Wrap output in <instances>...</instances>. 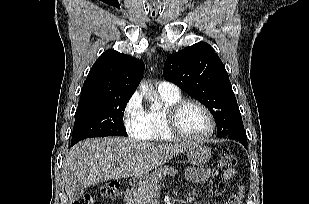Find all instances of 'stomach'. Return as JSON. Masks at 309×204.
<instances>
[{"instance_id":"obj_1","label":"stomach","mask_w":309,"mask_h":204,"mask_svg":"<svg viewBox=\"0 0 309 204\" xmlns=\"http://www.w3.org/2000/svg\"><path fill=\"white\" fill-rule=\"evenodd\" d=\"M211 156V150L201 142L193 143L187 149V158L192 165H203ZM147 175L135 177L134 181L139 185Z\"/></svg>"}]
</instances>
